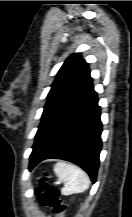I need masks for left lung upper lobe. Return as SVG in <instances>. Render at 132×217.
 Masks as SVG:
<instances>
[{
	"label": "left lung upper lobe",
	"mask_w": 132,
	"mask_h": 217,
	"mask_svg": "<svg viewBox=\"0 0 132 217\" xmlns=\"http://www.w3.org/2000/svg\"><path fill=\"white\" fill-rule=\"evenodd\" d=\"M91 85L92 78L88 64L81 58V54L75 53L67 58L47 96L35 143L50 123Z\"/></svg>",
	"instance_id": "5c2ea615"
}]
</instances>
